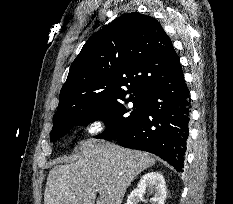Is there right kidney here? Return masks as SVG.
Wrapping results in <instances>:
<instances>
[{"mask_svg": "<svg viewBox=\"0 0 233 204\" xmlns=\"http://www.w3.org/2000/svg\"><path fill=\"white\" fill-rule=\"evenodd\" d=\"M146 191L154 194L151 198L152 204H164L167 190L163 175L153 171L144 174L139 180L136 189L128 196L125 204H138Z\"/></svg>", "mask_w": 233, "mask_h": 204, "instance_id": "right-kidney-1", "label": "right kidney"}]
</instances>
